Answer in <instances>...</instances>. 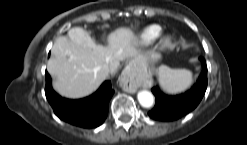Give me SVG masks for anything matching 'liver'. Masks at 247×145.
I'll return each instance as SVG.
<instances>
[{"label": "liver", "instance_id": "1", "mask_svg": "<svg viewBox=\"0 0 247 145\" xmlns=\"http://www.w3.org/2000/svg\"><path fill=\"white\" fill-rule=\"evenodd\" d=\"M51 52L47 70L55 78L53 88L67 98L93 93L108 76L105 66L113 74L120 61L140 56L135 34L124 27L109 34L107 46L96 44L82 28H72L56 39Z\"/></svg>", "mask_w": 247, "mask_h": 145}]
</instances>
